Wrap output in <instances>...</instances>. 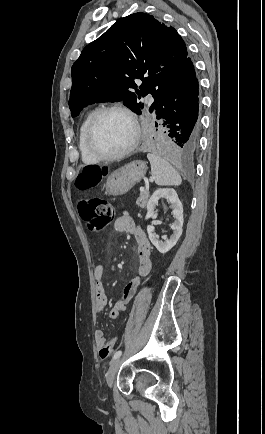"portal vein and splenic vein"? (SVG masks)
Returning a JSON list of instances; mask_svg holds the SVG:
<instances>
[{
	"mask_svg": "<svg viewBox=\"0 0 265 434\" xmlns=\"http://www.w3.org/2000/svg\"><path fill=\"white\" fill-rule=\"evenodd\" d=\"M140 192H144V188H140Z\"/></svg>",
	"mask_w": 265,
	"mask_h": 434,
	"instance_id": "18ae733b",
	"label": "portal vein and splenic vein"
}]
</instances>
